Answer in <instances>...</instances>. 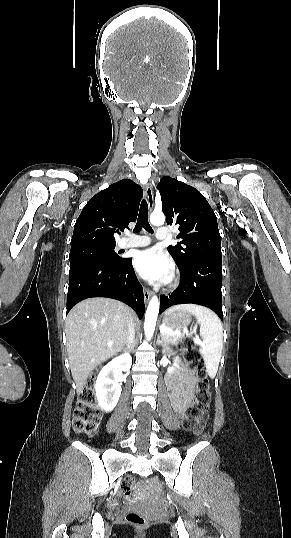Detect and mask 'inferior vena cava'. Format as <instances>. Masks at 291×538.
<instances>
[{"instance_id": "602c4592", "label": "inferior vena cava", "mask_w": 291, "mask_h": 538, "mask_svg": "<svg viewBox=\"0 0 291 538\" xmlns=\"http://www.w3.org/2000/svg\"><path fill=\"white\" fill-rule=\"evenodd\" d=\"M134 337H135V331H134L133 320L132 318H130V321L128 324V336H127L128 347L131 346V344L133 343Z\"/></svg>"}]
</instances>
